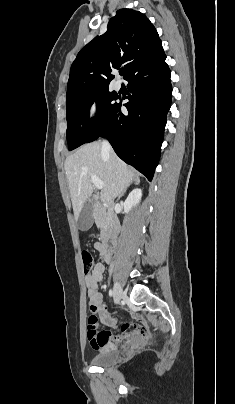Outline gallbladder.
Returning <instances> with one entry per match:
<instances>
[{"mask_svg":"<svg viewBox=\"0 0 235 404\" xmlns=\"http://www.w3.org/2000/svg\"><path fill=\"white\" fill-rule=\"evenodd\" d=\"M93 224V212L90 201H86L77 219V227L81 231L88 230Z\"/></svg>","mask_w":235,"mask_h":404,"instance_id":"obj_1","label":"gallbladder"}]
</instances>
